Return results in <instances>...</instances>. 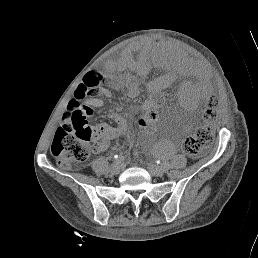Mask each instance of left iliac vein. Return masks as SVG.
<instances>
[{
	"label": "left iliac vein",
	"instance_id": "1",
	"mask_svg": "<svg viewBox=\"0 0 258 258\" xmlns=\"http://www.w3.org/2000/svg\"><path fill=\"white\" fill-rule=\"evenodd\" d=\"M147 170L149 171V173L152 176H162L164 173V170L162 167L156 165V164H152V163H148L147 164Z\"/></svg>",
	"mask_w": 258,
	"mask_h": 258
}]
</instances>
